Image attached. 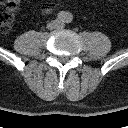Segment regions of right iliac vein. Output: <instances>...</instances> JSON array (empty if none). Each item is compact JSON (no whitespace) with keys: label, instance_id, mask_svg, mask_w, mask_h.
Segmentation results:
<instances>
[{"label":"right iliac vein","instance_id":"right-iliac-vein-1","mask_svg":"<svg viewBox=\"0 0 128 128\" xmlns=\"http://www.w3.org/2000/svg\"><path fill=\"white\" fill-rule=\"evenodd\" d=\"M57 26V22H52L48 24L49 29H54Z\"/></svg>","mask_w":128,"mask_h":128}]
</instances>
